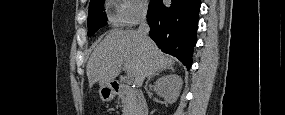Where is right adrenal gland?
Instances as JSON below:
<instances>
[{"instance_id":"2a0ac1e0","label":"right adrenal gland","mask_w":285,"mask_h":115,"mask_svg":"<svg viewBox=\"0 0 285 115\" xmlns=\"http://www.w3.org/2000/svg\"><path fill=\"white\" fill-rule=\"evenodd\" d=\"M169 70H171V71H174V69L173 68H168ZM160 72H162V70H160V71H157V72H155L154 74H152L151 76H149L148 78H147V81H146V85L148 84V82L153 78V77H155V76H157V75H159L160 74Z\"/></svg>"}]
</instances>
